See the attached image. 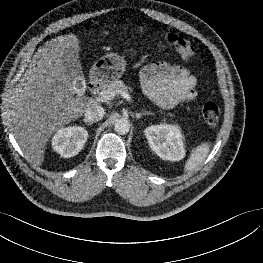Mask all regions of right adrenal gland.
<instances>
[{
    "label": "right adrenal gland",
    "mask_w": 263,
    "mask_h": 263,
    "mask_svg": "<svg viewBox=\"0 0 263 263\" xmlns=\"http://www.w3.org/2000/svg\"><path fill=\"white\" fill-rule=\"evenodd\" d=\"M83 121H84L87 125H92V124H93V122H90V121H88V120H86V119H83Z\"/></svg>",
    "instance_id": "1"
}]
</instances>
